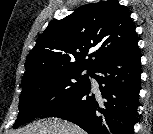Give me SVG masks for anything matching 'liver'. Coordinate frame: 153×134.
Segmentation results:
<instances>
[{"instance_id":"liver-1","label":"liver","mask_w":153,"mask_h":134,"mask_svg":"<svg viewBox=\"0 0 153 134\" xmlns=\"http://www.w3.org/2000/svg\"><path fill=\"white\" fill-rule=\"evenodd\" d=\"M15 134H85V132L75 124L51 118L45 121L34 122L24 129L17 130Z\"/></svg>"}]
</instances>
